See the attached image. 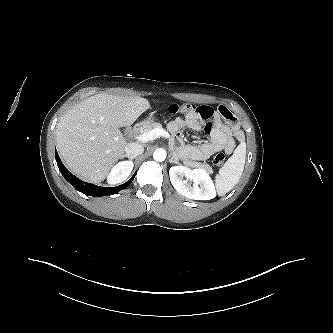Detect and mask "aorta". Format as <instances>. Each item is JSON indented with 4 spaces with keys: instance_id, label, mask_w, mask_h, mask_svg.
Listing matches in <instances>:
<instances>
[{
    "instance_id": "1",
    "label": "aorta",
    "mask_w": 333,
    "mask_h": 333,
    "mask_svg": "<svg viewBox=\"0 0 333 333\" xmlns=\"http://www.w3.org/2000/svg\"><path fill=\"white\" fill-rule=\"evenodd\" d=\"M153 158L155 161L162 162L166 159V151L162 148L156 149Z\"/></svg>"
}]
</instances>
